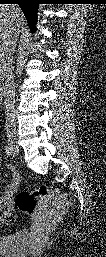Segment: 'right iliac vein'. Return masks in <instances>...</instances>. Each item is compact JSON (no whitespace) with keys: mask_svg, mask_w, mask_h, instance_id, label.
<instances>
[{"mask_svg":"<svg viewBox=\"0 0 106 257\" xmlns=\"http://www.w3.org/2000/svg\"><path fill=\"white\" fill-rule=\"evenodd\" d=\"M8 143H9V146L11 147L12 152L14 153V155H18L19 154V147L17 145L15 136L13 134H9Z\"/></svg>","mask_w":106,"mask_h":257,"instance_id":"1","label":"right iliac vein"}]
</instances>
